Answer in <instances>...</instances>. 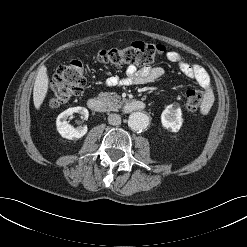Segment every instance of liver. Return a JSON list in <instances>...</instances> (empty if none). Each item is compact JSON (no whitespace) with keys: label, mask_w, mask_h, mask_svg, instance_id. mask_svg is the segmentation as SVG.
Returning a JSON list of instances; mask_svg holds the SVG:
<instances>
[{"label":"liver","mask_w":247,"mask_h":247,"mask_svg":"<svg viewBox=\"0 0 247 247\" xmlns=\"http://www.w3.org/2000/svg\"><path fill=\"white\" fill-rule=\"evenodd\" d=\"M49 77L47 68L41 66L34 83L33 101L36 109H40L48 92Z\"/></svg>","instance_id":"obj_1"}]
</instances>
